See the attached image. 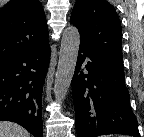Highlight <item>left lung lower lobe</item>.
I'll list each match as a JSON object with an SVG mask.
<instances>
[{
  "label": "left lung lower lobe",
  "instance_id": "0a47b994",
  "mask_svg": "<svg viewBox=\"0 0 144 137\" xmlns=\"http://www.w3.org/2000/svg\"><path fill=\"white\" fill-rule=\"evenodd\" d=\"M72 93L78 137H140L122 62L96 53L80 42Z\"/></svg>",
  "mask_w": 144,
  "mask_h": 137
}]
</instances>
